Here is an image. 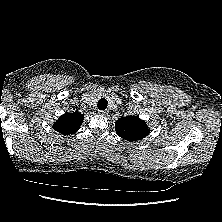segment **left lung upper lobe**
Instances as JSON below:
<instances>
[{
	"label": "left lung upper lobe",
	"instance_id": "obj_1",
	"mask_svg": "<svg viewBox=\"0 0 222 222\" xmlns=\"http://www.w3.org/2000/svg\"><path fill=\"white\" fill-rule=\"evenodd\" d=\"M116 133L127 141H138L149 134L146 123L137 116L121 117L115 122Z\"/></svg>",
	"mask_w": 222,
	"mask_h": 222
}]
</instances>
